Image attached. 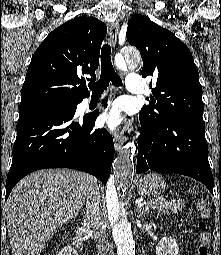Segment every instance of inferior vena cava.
Segmentation results:
<instances>
[{"label": "inferior vena cava", "mask_w": 221, "mask_h": 255, "mask_svg": "<svg viewBox=\"0 0 221 255\" xmlns=\"http://www.w3.org/2000/svg\"><path fill=\"white\" fill-rule=\"evenodd\" d=\"M100 198L99 187L96 184L92 185L86 195V219L84 223L93 229L97 255H110L108 235L101 227Z\"/></svg>", "instance_id": "1"}]
</instances>
